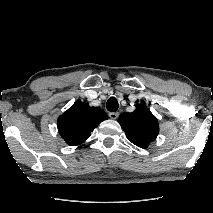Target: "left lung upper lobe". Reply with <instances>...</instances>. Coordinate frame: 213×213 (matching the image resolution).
<instances>
[{"label": "left lung upper lobe", "instance_id": "left-lung-upper-lobe-1", "mask_svg": "<svg viewBox=\"0 0 213 213\" xmlns=\"http://www.w3.org/2000/svg\"><path fill=\"white\" fill-rule=\"evenodd\" d=\"M118 122L128 140L140 148H147L159 133L158 120L143 104L136 105L131 113H122Z\"/></svg>", "mask_w": 213, "mask_h": 213}]
</instances>
